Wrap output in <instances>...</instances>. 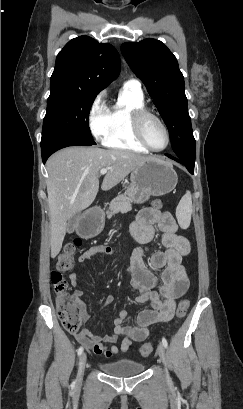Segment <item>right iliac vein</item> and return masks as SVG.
<instances>
[{"label": "right iliac vein", "instance_id": "obj_1", "mask_svg": "<svg viewBox=\"0 0 243 409\" xmlns=\"http://www.w3.org/2000/svg\"><path fill=\"white\" fill-rule=\"evenodd\" d=\"M87 361V356L85 353H83L80 358H79V363H78V373H77V379L81 380L84 370H85V364Z\"/></svg>", "mask_w": 243, "mask_h": 409}]
</instances>
